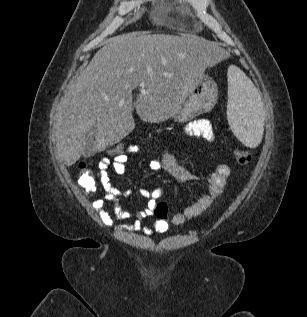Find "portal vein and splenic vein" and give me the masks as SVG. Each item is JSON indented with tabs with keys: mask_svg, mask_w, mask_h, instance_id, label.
<instances>
[{
	"mask_svg": "<svg viewBox=\"0 0 307 317\" xmlns=\"http://www.w3.org/2000/svg\"><path fill=\"white\" fill-rule=\"evenodd\" d=\"M143 86H144L143 84H140V88H143Z\"/></svg>",
	"mask_w": 307,
	"mask_h": 317,
	"instance_id": "obj_1",
	"label": "portal vein and splenic vein"
}]
</instances>
